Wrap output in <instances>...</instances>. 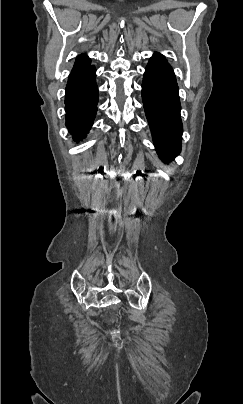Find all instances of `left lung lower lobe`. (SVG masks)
<instances>
[{"label":"left lung lower lobe","instance_id":"1","mask_svg":"<svg viewBox=\"0 0 243 404\" xmlns=\"http://www.w3.org/2000/svg\"><path fill=\"white\" fill-rule=\"evenodd\" d=\"M142 99L156 151L163 161H171L181 151V105L174 71L159 53L146 66Z\"/></svg>","mask_w":243,"mask_h":404}]
</instances>
